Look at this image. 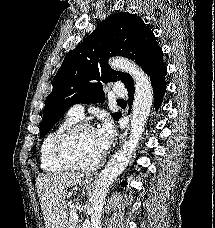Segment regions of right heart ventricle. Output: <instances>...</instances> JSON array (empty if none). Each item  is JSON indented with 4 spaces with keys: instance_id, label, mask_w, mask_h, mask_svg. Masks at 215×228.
Masks as SVG:
<instances>
[{
    "instance_id": "right-heart-ventricle-1",
    "label": "right heart ventricle",
    "mask_w": 215,
    "mask_h": 228,
    "mask_svg": "<svg viewBox=\"0 0 215 228\" xmlns=\"http://www.w3.org/2000/svg\"><path fill=\"white\" fill-rule=\"evenodd\" d=\"M77 122V119L67 113L64 118L45 135L39 150L40 167L43 172L53 174L65 171V168L59 166L53 160L51 153L52 145L63 130Z\"/></svg>"
}]
</instances>
